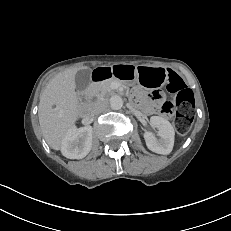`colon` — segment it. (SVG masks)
<instances>
[{
    "instance_id": "5ec220e1",
    "label": "colon",
    "mask_w": 231,
    "mask_h": 231,
    "mask_svg": "<svg viewBox=\"0 0 231 231\" xmlns=\"http://www.w3.org/2000/svg\"><path fill=\"white\" fill-rule=\"evenodd\" d=\"M169 90L175 95L174 102L161 101L158 104V110L165 114L176 110L174 116L175 129L179 135H185L189 131L195 115L194 93L177 74L170 75Z\"/></svg>"
}]
</instances>
